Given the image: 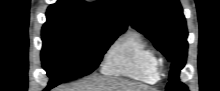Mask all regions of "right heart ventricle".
<instances>
[{
    "label": "right heart ventricle",
    "mask_w": 220,
    "mask_h": 91,
    "mask_svg": "<svg viewBox=\"0 0 220 91\" xmlns=\"http://www.w3.org/2000/svg\"><path fill=\"white\" fill-rule=\"evenodd\" d=\"M102 72L154 84L160 79L159 59L138 31L129 30L107 52Z\"/></svg>",
    "instance_id": "obj_1"
}]
</instances>
